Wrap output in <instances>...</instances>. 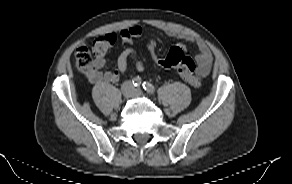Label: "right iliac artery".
<instances>
[{
    "instance_id": "82829eb1",
    "label": "right iliac artery",
    "mask_w": 292,
    "mask_h": 184,
    "mask_svg": "<svg viewBox=\"0 0 292 184\" xmlns=\"http://www.w3.org/2000/svg\"><path fill=\"white\" fill-rule=\"evenodd\" d=\"M132 82H133V85L135 86V87H139L140 85H141V83H142V81H141V78L138 76V77H135L133 80H132Z\"/></svg>"
}]
</instances>
